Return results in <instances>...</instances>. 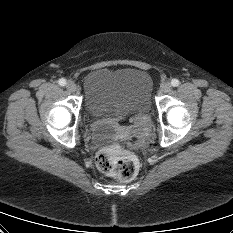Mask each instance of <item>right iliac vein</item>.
I'll use <instances>...</instances> for the list:
<instances>
[{
	"instance_id": "obj_1",
	"label": "right iliac vein",
	"mask_w": 233,
	"mask_h": 233,
	"mask_svg": "<svg viewBox=\"0 0 233 233\" xmlns=\"http://www.w3.org/2000/svg\"><path fill=\"white\" fill-rule=\"evenodd\" d=\"M66 88L70 92H75L77 90V85L73 81L69 80L66 84Z\"/></svg>"
}]
</instances>
